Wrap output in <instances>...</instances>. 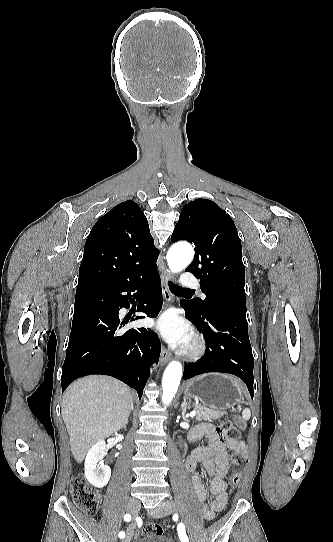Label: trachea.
Wrapping results in <instances>:
<instances>
[{"label":"trachea","instance_id":"3493384b","mask_svg":"<svg viewBox=\"0 0 333 542\" xmlns=\"http://www.w3.org/2000/svg\"><path fill=\"white\" fill-rule=\"evenodd\" d=\"M168 285L171 291L181 290L183 287H180L179 285H176L170 281H168Z\"/></svg>","mask_w":333,"mask_h":542}]
</instances>
